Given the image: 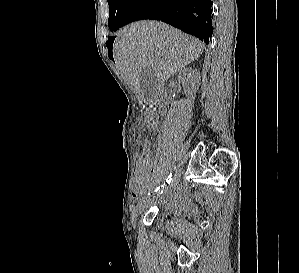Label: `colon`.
Returning <instances> with one entry per match:
<instances>
[{"label": "colon", "instance_id": "5ec220e1", "mask_svg": "<svg viewBox=\"0 0 299 273\" xmlns=\"http://www.w3.org/2000/svg\"><path fill=\"white\" fill-rule=\"evenodd\" d=\"M142 150L149 151L151 150V141L148 138L142 140Z\"/></svg>", "mask_w": 299, "mask_h": 273}]
</instances>
